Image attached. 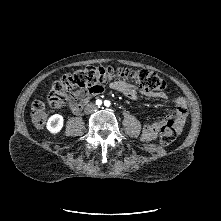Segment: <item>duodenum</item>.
Segmentation results:
<instances>
[{"mask_svg":"<svg viewBox=\"0 0 221 221\" xmlns=\"http://www.w3.org/2000/svg\"><path fill=\"white\" fill-rule=\"evenodd\" d=\"M90 97H91V96L85 98V99L82 101V103L80 104V108H81V106H82L83 104H85V103L90 99Z\"/></svg>","mask_w":221,"mask_h":221,"instance_id":"obj_1","label":"duodenum"}]
</instances>
